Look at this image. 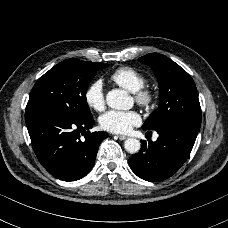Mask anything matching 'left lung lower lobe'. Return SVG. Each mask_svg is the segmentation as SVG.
Instances as JSON below:
<instances>
[{
  "label": "left lung lower lobe",
  "instance_id": "0a47b994",
  "mask_svg": "<svg viewBox=\"0 0 228 228\" xmlns=\"http://www.w3.org/2000/svg\"><path fill=\"white\" fill-rule=\"evenodd\" d=\"M156 131L159 134L157 140H141L142 148L129 158L132 171L150 182L165 180L178 171L189 157L199 128L173 123Z\"/></svg>",
  "mask_w": 228,
  "mask_h": 228
}]
</instances>
